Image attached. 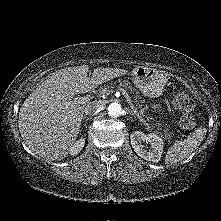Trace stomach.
Wrapping results in <instances>:
<instances>
[{
  "mask_svg": "<svg viewBox=\"0 0 221 221\" xmlns=\"http://www.w3.org/2000/svg\"><path fill=\"white\" fill-rule=\"evenodd\" d=\"M132 81L134 85L145 95L151 98L162 94L167 83L166 75L155 69L138 66L132 71ZM153 110H160V104H153Z\"/></svg>",
  "mask_w": 221,
  "mask_h": 221,
  "instance_id": "0dacf381",
  "label": "stomach"
}]
</instances>
